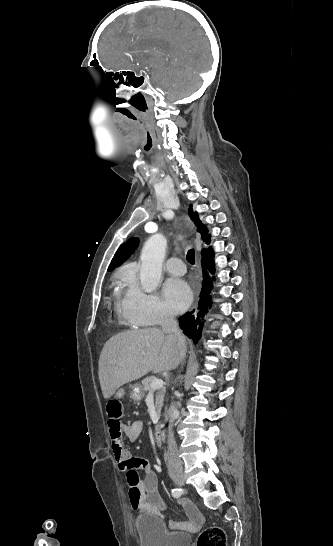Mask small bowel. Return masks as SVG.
<instances>
[{"instance_id":"small-bowel-1","label":"small bowel","mask_w":333,"mask_h":546,"mask_svg":"<svg viewBox=\"0 0 333 546\" xmlns=\"http://www.w3.org/2000/svg\"><path fill=\"white\" fill-rule=\"evenodd\" d=\"M113 396L123 398L124 388L119 386ZM109 435L111 437V448L119 469L126 473V481L129 486V500L131 507L140 512L152 514L160 519L165 516L162 512L166 508V502L157 489L156 474L150 469L147 461L141 458H133L125 448L123 436L133 443L136 442L142 431V423L134 421L127 425L121 421L108 422ZM139 473L144 476L140 480ZM181 505L185 509L189 521L183 522L175 519H169L168 524L174 529L196 530L203 523V517L199 510L189 501L182 500Z\"/></svg>"}]
</instances>
